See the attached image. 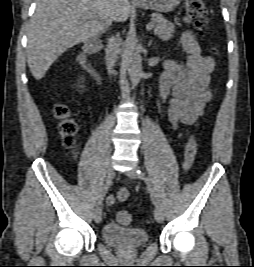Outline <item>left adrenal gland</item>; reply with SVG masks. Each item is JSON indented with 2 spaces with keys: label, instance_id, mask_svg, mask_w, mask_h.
I'll list each match as a JSON object with an SVG mask.
<instances>
[{
  "label": "left adrenal gland",
  "instance_id": "1",
  "mask_svg": "<svg viewBox=\"0 0 254 267\" xmlns=\"http://www.w3.org/2000/svg\"><path fill=\"white\" fill-rule=\"evenodd\" d=\"M152 41H149V45H151Z\"/></svg>",
  "mask_w": 254,
  "mask_h": 267
}]
</instances>
